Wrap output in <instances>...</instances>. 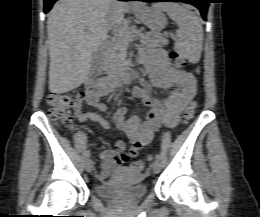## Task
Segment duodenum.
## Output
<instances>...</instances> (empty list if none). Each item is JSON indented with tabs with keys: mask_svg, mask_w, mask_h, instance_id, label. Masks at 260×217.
<instances>
[{
	"mask_svg": "<svg viewBox=\"0 0 260 217\" xmlns=\"http://www.w3.org/2000/svg\"><path fill=\"white\" fill-rule=\"evenodd\" d=\"M101 51L102 47H98L96 52H95V60H94V65L93 69L91 71L90 77L88 79V83L86 86V92L91 93V92H101V93H107L110 90L113 89V87L118 84L119 82H125L130 80V75L127 73V71H122L119 74L116 75V77L113 78H100V79H95V73L97 70V63L100 62L101 58Z\"/></svg>",
	"mask_w": 260,
	"mask_h": 217,
	"instance_id": "duodenum-1",
	"label": "duodenum"
}]
</instances>
